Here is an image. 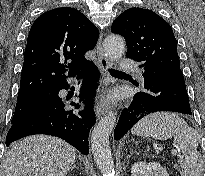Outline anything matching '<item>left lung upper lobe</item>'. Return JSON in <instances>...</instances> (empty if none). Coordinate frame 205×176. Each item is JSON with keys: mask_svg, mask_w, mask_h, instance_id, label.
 <instances>
[{"mask_svg": "<svg viewBox=\"0 0 205 176\" xmlns=\"http://www.w3.org/2000/svg\"><path fill=\"white\" fill-rule=\"evenodd\" d=\"M111 31L125 38L127 57L140 64L143 74L180 69L173 30L153 11L142 8L127 9L115 19Z\"/></svg>", "mask_w": 205, "mask_h": 176, "instance_id": "5c2ea615", "label": "left lung upper lobe"}]
</instances>
